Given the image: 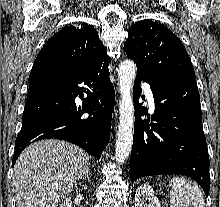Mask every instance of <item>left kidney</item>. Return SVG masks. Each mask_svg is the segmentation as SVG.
<instances>
[{"instance_id":"left-kidney-1","label":"left kidney","mask_w":220,"mask_h":207,"mask_svg":"<svg viewBox=\"0 0 220 207\" xmlns=\"http://www.w3.org/2000/svg\"><path fill=\"white\" fill-rule=\"evenodd\" d=\"M135 207H161L158 198L154 195L153 188L149 184L138 187L135 195Z\"/></svg>"}]
</instances>
